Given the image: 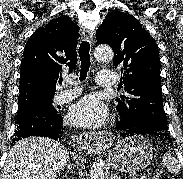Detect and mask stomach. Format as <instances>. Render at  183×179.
<instances>
[{"label":"stomach","mask_w":183,"mask_h":179,"mask_svg":"<svg viewBox=\"0 0 183 179\" xmlns=\"http://www.w3.org/2000/svg\"><path fill=\"white\" fill-rule=\"evenodd\" d=\"M112 168L120 172H136L146 168L153 158L152 145L140 135L117 142L109 153Z\"/></svg>","instance_id":"stomach-1"}]
</instances>
